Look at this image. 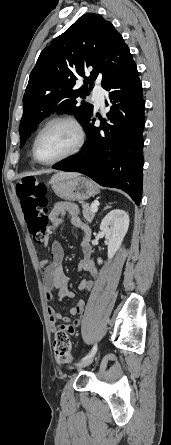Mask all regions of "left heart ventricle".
Returning a JSON list of instances; mask_svg holds the SVG:
<instances>
[{
  "mask_svg": "<svg viewBox=\"0 0 171 445\" xmlns=\"http://www.w3.org/2000/svg\"><path fill=\"white\" fill-rule=\"evenodd\" d=\"M76 142L74 129L66 124L48 128L39 138L37 155L43 161L53 160L69 151Z\"/></svg>",
  "mask_w": 171,
  "mask_h": 445,
  "instance_id": "b2bd125f",
  "label": "left heart ventricle"
}]
</instances>
